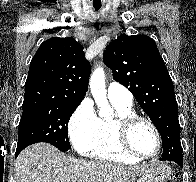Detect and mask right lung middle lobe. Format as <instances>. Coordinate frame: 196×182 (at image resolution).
Instances as JSON below:
<instances>
[{
	"instance_id": "1",
	"label": "right lung middle lobe",
	"mask_w": 196,
	"mask_h": 182,
	"mask_svg": "<svg viewBox=\"0 0 196 182\" xmlns=\"http://www.w3.org/2000/svg\"><path fill=\"white\" fill-rule=\"evenodd\" d=\"M77 107L51 104L23 108L16 153L38 142H47L60 151H68L71 146L67 125Z\"/></svg>"
}]
</instances>
